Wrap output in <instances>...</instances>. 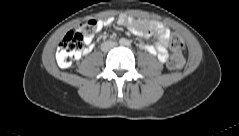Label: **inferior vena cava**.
<instances>
[{"mask_svg": "<svg viewBox=\"0 0 239 136\" xmlns=\"http://www.w3.org/2000/svg\"><path fill=\"white\" fill-rule=\"evenodd\" d=\"M116 46V43L115 42H105L103 45H102V50L103 51H107V50H109V49H112V48H114Z\"/></svg>", "mask_w": 239, "mask_h": 136, "instance_id": "inferior-vena-cava-1", "label": "inferior vena cava"}]
</instances>
